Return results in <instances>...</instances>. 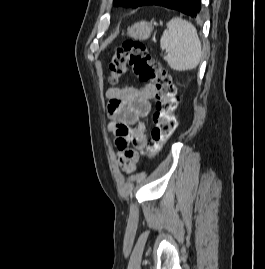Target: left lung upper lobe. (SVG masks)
<instances>
[{"label": "left lung upper lobe", "mask_w": 265, "mask_h": 269, "mask_svg": "<svg viewBox=\"0 0 265 269\" xmlns=\"http://www.w3.org/2000/svg\"><path fill=\"white\" fill-rule=\"evenodd\" d=\"M144 0H113L115 6L137 8Z\"/></svg>", "instance_id": "5c2ea615"}]
</instances>
